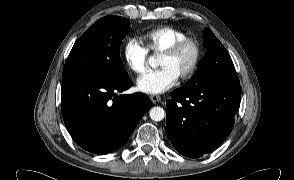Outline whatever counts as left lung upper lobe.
I'll return each instance as SVG.
<instances>
[{
  "instance_id": "1",
  "label": "left lung upper lobe",
  "mask_w": 294,
  "mask_h": 180,
  "mask_svg": "<svg viewBox=\"0 0 294 180\" xmlns=\"http://www.w3.org/2000/svg\"><path fill=\"white\" fill-rule=\"evenodd\" d=\"M204 32L205 55L195 75L182 88L195 89L216 84L239 85V78L228 52L209 28Z\"/></svg>"
}]
</instances>
